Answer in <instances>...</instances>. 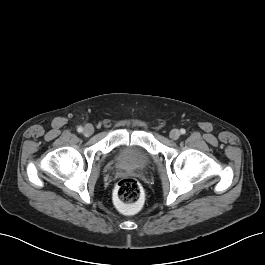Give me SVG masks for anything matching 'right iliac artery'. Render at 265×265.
I'll list each match as a JSON object with an SVG mask.
<instances>
[{
  "mask_svg": "<svg viewBox=\"0 0 265 265\" xmlns=\"http://www.w3.org/2000/svg\"><path fill=\"white\" fill-rule=\"evenodd\" d=\"M77 131L78 132H82L83 131V128L80 126V127L77 128Z\"/></svg>",
  "mask_w": 265,
  "mask_h": 265,
  "instance_id": "obj_1",
  "label": "right iliac artery"
}]
</instances>
